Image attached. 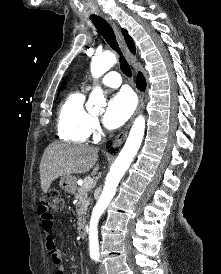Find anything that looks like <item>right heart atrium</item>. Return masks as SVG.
Here are the masks:
<instances>
[{
	"label": "right heart atrium",
	"mask_w": 221,
	"mask_h": 274,
	"mask_svg": "<svg viewBox=\"0 0 221 274\" xmlns=\"http://www.w3.org/2000/svg\"><path fill=\"white\" fill-rule=\"evenodd\" d=\"M100 133H101V127H100L99 121L96 118H93L91 123V134L94 137H98Z\"/></svg>",
	"instance_id": "right-heart-atrium-1"
}]
</instances>
